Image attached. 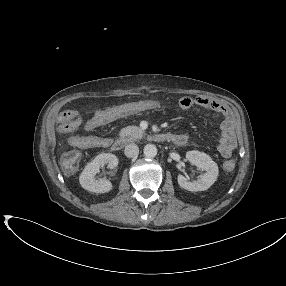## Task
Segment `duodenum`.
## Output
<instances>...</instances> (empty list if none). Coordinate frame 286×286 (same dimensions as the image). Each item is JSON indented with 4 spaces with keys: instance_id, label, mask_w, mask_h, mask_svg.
I'll return each mask as SVG.
<instances>
[{
    "instance_id": "obj_1",
    "label": "duodenum",
    "mask_w": 286,
    "mask_h": 286,
    "mask_svg": "<svg viewBox=\"0 0 286 286\" xmlns=\"http://www.w3.org/2000/svg\"><path fill=\"white\" fill-rule=\"evenodd\" d=\"M152 138L157 141H171L178 146H183L186 144V139L183 136L176 135L173 133H159L154 135ZM124 145L125 140L122 138L114 139L110 142V148L115 152L122 150Z\"/></svg>"
}]
</instances>
